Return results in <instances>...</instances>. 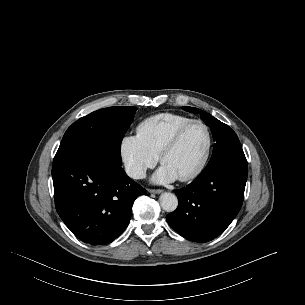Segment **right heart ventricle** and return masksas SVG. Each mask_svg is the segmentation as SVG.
Returning a JSON list of instances; mask_svg holds the SVG:
<instances>
[{"label":"right heart ventricle","mask_w":305,"mask_h":305,"mask_svg":"<svg viewBox=\"0 0 305 305\" xmlns=\"http://www.w3.org/2000/svg\"><path fill=\"white\" fill-rule=\"evenodd\" d=\"M190 120V117L180 114H157L145 119L138 125L137 135L147 148L158 157L162 147L174 132Z\"/></svg>","instance_id":"obj_1"}]
</instances>
